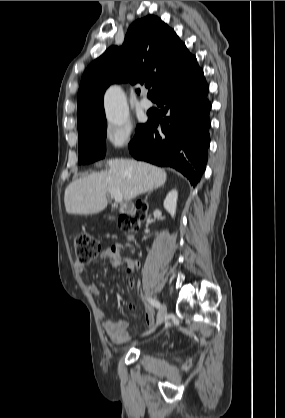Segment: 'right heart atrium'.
<instances>
[{
	"mask_svg": "<svg viewBox=\"0 0 285 418\" xmlns=\"http://www.w3.org/2000/svg\"><path fill=\"white\" fill-rule=\"evenodd\" d=\"M133 141V133L130 126L109 125L104 132V143L111 152L128 148Z\"/></svg>",
	"mask_w": 285,
	"mask_h": 418,
	"instance_id": "d8ad5b80",
	"label": "right heart atrium"
}]
</instances>
